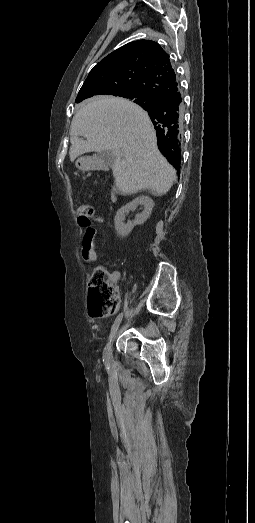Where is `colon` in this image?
<instances>
[{
	"label": "colon",
	"mask_w": 255,
	"mask_h": 523,
	"mask_svg": "<svg viewBox=\"0 0 255 523\" xmlns=\"http://www.w3.org/2000/svg\"><path fill=\"white\" fill-rule=\"evenodd\" d=\"M93 207L83 204L77 208L78 221L87 225L93 217ZM113 273L104 266H97L89 279L88 307L91 317H99L113 313L119 305L116 283Z\"/></svg>",
	"instance_id": "1"
}]
</instances>
